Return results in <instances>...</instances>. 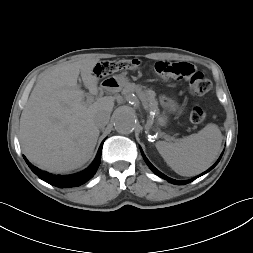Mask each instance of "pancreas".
<instances>
[{"instance_id":"pancreas-1","label":"pancreas","mask_w":253,"mask_h":253,"mask_svg":"<svg viewBox=\"0 0 253 253\" xmlns=\"http://www.w3.org/2000/svg\"><path fill=\"white\" fill-rule=\"evenodd\" d=\"M132 92H136L142 101V104L146 106L147 111H158V102L155 99V92L151 89H145L141 85L134 83H128L122 90L123 95H128Z\"/></svg>"}]
</instances>
